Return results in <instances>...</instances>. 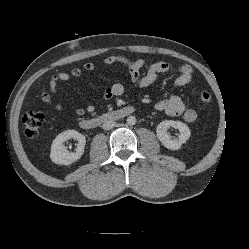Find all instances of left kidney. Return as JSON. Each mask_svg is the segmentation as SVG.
Returning a JSON list of instances; mask_svg holds the SVG:
<instances>
[{"label":"left kidney","instance_id":"obj_1","mask_svg":"<svg viewBox=\"0 0 249 249\" xmlns=\"http://www.w3.org/2000/svg\"><path fill=\"white\" fill-rule=\"evenodd\" d=\"M170 127L179 130V135L177 138H172L169 135L167 130ZM156 134L157 138L166 148L170 150H178L180 149L181 145L189 139L191 132L188 126L183 122L174 121V120H165L160 122V124L157 126Z\"/></svg>","mask_w":249,"mask_h":249}]
</instances>
